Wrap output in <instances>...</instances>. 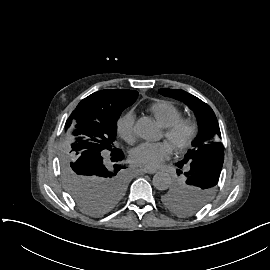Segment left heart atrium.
Instances as JSON below:
<instances>
[{
	"instance_id": "obj_1",
	"label": "left heart atrium",
	"mask_w": 270,
	"mask_h": 270,
	"mask_svg": "<svg viewBox=\"0 0 270 270\" xmlns=\"http://www.w3.org/2000/svg\"><path fill=\"white\" fill-rule=\"evenodd\" d=\"M170 146L167 144H142L132 152L133 161L143 169H156L168 157Z\"/></svg>"
}]
</instances>
